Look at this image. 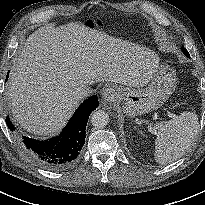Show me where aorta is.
<instances>
[{"label":"aorta","mask_w":205,"mask_h":205,"mask_svg":"<svg viewBox=\"0 0 205 205\" xmlns=\"http://www.w3.org/2000/svg\"><path fill=\"white\" fill-rule=\"evenodd\" d=\"M91 123L96 128H104L109 123V115L103 110L95 111L91 116Z\"/></svg>","instance_id":"obj_1"}]
</instances>
